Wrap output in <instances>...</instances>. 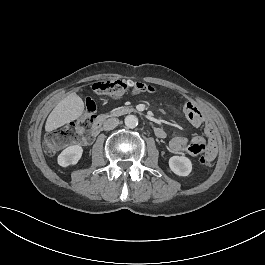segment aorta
<instances>
[{"instance_id":"obj_1","label":"aorta","mask_w":265,"mask_h":265,"mask_svg":"<svg viewBox=\"0 0 265 265\" xmlns=\"http://www.w3.org/2000/svg\"><path fill=\"white\" fill-rule=\"evenodd\" d=\"M125 125L129 129L135 128L138 126V118L135 115H128L125 118Z\"/></svg>"}]
</instances>
